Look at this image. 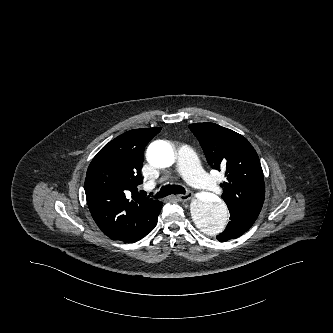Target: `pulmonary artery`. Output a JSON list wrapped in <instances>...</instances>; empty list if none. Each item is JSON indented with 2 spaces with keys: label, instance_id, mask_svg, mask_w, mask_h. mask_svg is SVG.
<instances>
[{
  "label": "pulmonary artery",
  "instance_id": "e3ab8cb5",
  "mask_svg": "<svg viewBox=\"0 0 333 333\" xmlns=\"http://www.w3.org/2000/svg\"><path fill=\"white\" fill-rule=\"evenodd\" d=\"M176 166L185 180L195 188L211 193H220L221 190L217 183L200 167L197 156L191 147L184 145L178 150Z\"/></svg>",
  "mask_w": 333,
  "mask_h": 333
}]
</instances>
